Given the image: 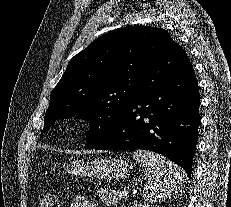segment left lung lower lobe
<instances>
[{
  "label": "left lung lower lobe",
  "instance_id": "0a47b994",
  "mask_svg": "<svg viewBox=\"0 0 231 207\" xmlns=\"http://www.w3.org/2000/svg\"><path fill=\"white\" fill-rule=\"evenodd\" d=\"M200 94L193 66L176 42L142 77L141 92L98 150H150L191 178L198 140Z\"/></svg>",
  "mask_w": 231,
  "mask_h": 207
}]
</instances>
